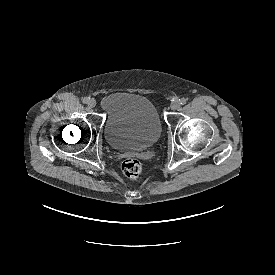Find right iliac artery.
<instances>
[{
  "instance_id": "82829eb1",
  "label": "right iliac artery",
  "mask_w": 275,
  "mask_h": 275,
  "mask_svg": "<svg viewBox=\"0 0 275 275\" xmlns=\"http://www.w3.org/2000/svg\"><path fill=\"white\" fill-rule=\"evenodd\" d=\"M82 101H83V103L87 104L88 101H89V98H88V97H84V98L82 99Z\"/></svg>"
}]
</instances>
